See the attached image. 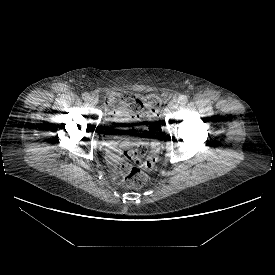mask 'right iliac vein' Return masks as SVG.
<instances>
[{
  "mask_svg": "<svg viewBox=\"0 0 275 275\" xmlns=\"http://www.w3.org/2000/svg\"><path fill=\"white\" fill-rule=\"evenodd\" d=\"M89 103L91 104V105H97V103H98V98L97 97H95V96H91L90 98H89Z\"/></svg>",
  "mask_w": 275,
  "mask_h": 275,
  "instance_id": "1",
  "label": "right iliac vein"
}]
</instances>
